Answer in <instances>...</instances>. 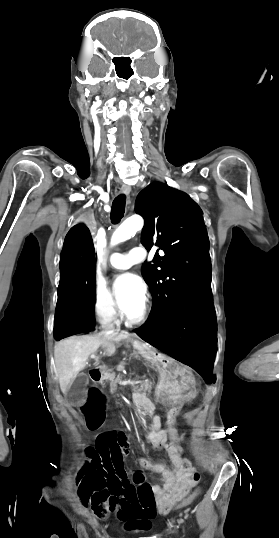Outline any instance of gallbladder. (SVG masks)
Listing matches in <instances>:
<instances>
[{
  "label": "gallbladder",
  "instance_id": "bac80fb5",
  "mask_svg": "<svg viewBox=\"0 0 279 538\" xmlns=\"http://www.w3.org/2000/svg\"><path fill=\"white\" fill-rule=\"evenodd\" d=\"M88 384V376L86 374H78L76 380H73L69 392H67V396L70 394V398L74 399L72 402L73 408L79 407V402L77 401V393L76 392H84L86 386ZM82 401H85V398H82Z\"/></svg>",
  "mask_w": 279,
  "mask_h": 538
}]
</instances>
